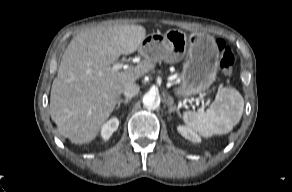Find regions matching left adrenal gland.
Returning a JSON list of instances; mask_svg holds the SVG:
<instances>
[{
	"label": "left adrenal gland",
	"instance_id": "a2214340",
	"mask_svg": "<svg viewBox=\"0 0 292 192\" xmlns=\"http://www.w3.org/2000/svg\"><path fill=\"white\" fill-rule=\"evenodd\" d=\"M167 104L169 106V114L176 112L178 115H180L179 109L175 106L174 100L171 96H168L167 98Z\"/></svg>",
	"mask_w": 292,
	"mask_h": 192
}]
</instances>
